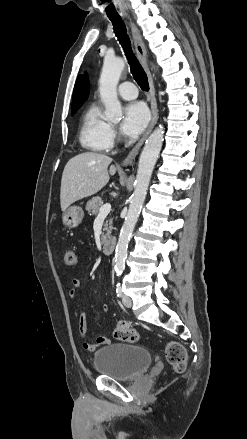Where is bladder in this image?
I'll return each instance as SVG.
<instances>
[{
	"instance_id": "1",
	"label": "bladder",
	"mask_w": 247,
	"mask_h": 439,
	"mask_svg": "<svg viewBox=\"0 0 247 439\" xmlns=\"http://www.w3.org/2000/svg\"><path fill=\"white\" fill-rule=\"evenodd\" d=\"M151 363L152 355L147 349L130 344L107 345L98 350L93 358L97 373L121 381L137 379Z\"/></svg>"
}]
</instances>
